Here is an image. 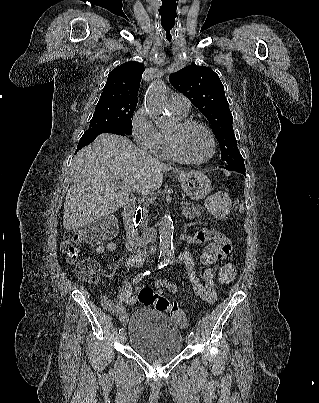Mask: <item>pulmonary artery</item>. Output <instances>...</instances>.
I'll return each mask as SVG.
<instances>
[{"label": "pulmonary artery", "mask_w": 319, "mask_h": 403, "mask_svg": "<svg viewBox=\"0 0 319 403\" xmlns=\"http://www.w3.org/2000/svg\"><path fill=\"white\" fill-rule=\"evenodd\" d=\"M168 106L170 110L187 114L190 109V102L181 94H172Z\"/></svg>", "instance_id": "pulmonary-artery-1"}]
</instances>
